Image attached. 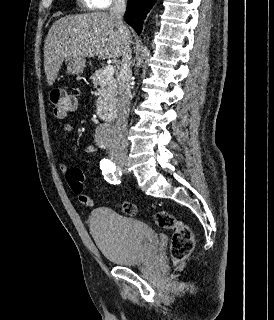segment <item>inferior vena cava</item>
<instances>
[{
  "label": "inferior vena cava",
  "instance_id": "obj_1",
  "mask_svg": "<svg viewBox=\"0 0 274 320\" xmlns=\"http://www.w3.org/2000/svg\"><path fill=\"white\" fill-rule=\"evenodd\" d=\"M126 10V0H113V4L110 8V16L114 18L116 32L120 36L123 42L122 62L118 74V126L125 130L127 126V120L129 118L130 110V96H131V34L123 22V16ZM127 142H123L122 148L126 150Z\"/></svg>",
  "mask_w": 274,
  "mask_h": 320
}]
</instances>
